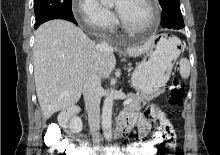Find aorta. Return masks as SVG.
<instances>
[{"instance_id": "762f6f07", "label": "aorta", "mask_w": 220, "mask_h": 155, "mask_svg": "<svg viewBox=\"0 0 220 155\" xmlns=\"http://www.w3.org/2000/svg\"><path fill=\"white\" fill-rule=\"evenodd\" d=\"M104 5L112 4L114 0H101ZM113 89L106 96L102 108V128L106 134L112 131Z\"/></svg>"}]
</instances>
